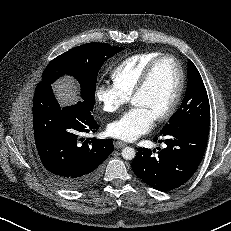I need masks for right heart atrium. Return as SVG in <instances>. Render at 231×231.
I'll use <instances>...</instances> for the list:
<instances>
[{
  "instance_id": "1",
  "label": "right heart atrium",
  "mask_w": 231,
  "mask_h": 231,
  "mask_svg": "<svg viewBox=\"0 0 231 231\" xmlns=\"http://www.w3.org/2000/svg\"><path fill=\"white\" fill-rule=\"evenodd\" d=\"M95 98L106 113H115L128 102V98L114 84L110 83L98 85L95 90Z\"/></svg>"
}]
</instances>
